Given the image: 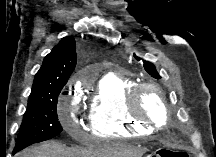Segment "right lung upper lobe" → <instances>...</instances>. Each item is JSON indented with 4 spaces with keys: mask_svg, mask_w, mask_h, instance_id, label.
Wrapping results in <instances>:
<instances>
[{
    "mask_svg": "<svg viewBox=\"0 0 216 157\" xmlns=\"http://www.w3.org/2000/svg\"><path fill=\"white\" fill-rule=\"evenodd\" d=\"M76 65L75 39L63 38L43 60L34 78L29 100L46 97L64 87Z\"/></svg>",
    "mask_w": 216,
    "mask_h": 157,
    "instance_id": "right-lung-upper-lobe-1",
    "label": "right lung upper lobe"
}]
</instances>
